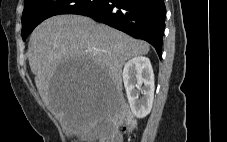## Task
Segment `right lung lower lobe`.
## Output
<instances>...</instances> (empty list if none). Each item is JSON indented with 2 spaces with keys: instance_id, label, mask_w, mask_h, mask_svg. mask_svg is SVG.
<instances>
[{
  "instance_id": "98d812e1",
  "label": "right lung lower lobe",
  "mask_w": 227,
  "mask_h": 142,
  "mask_svg": "<svg viewBox=\"0 0 227 142\" xmlns=\"http://www.w3.org/2000/svg\"><path fill=\"white\" fill-rule=\"evenodd\" d=\"M78 15L91 17L149 42L161 58L166 16L164 0H105Z\"/></svg>"
}]
</instances>
